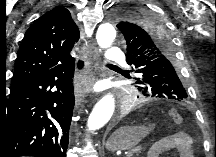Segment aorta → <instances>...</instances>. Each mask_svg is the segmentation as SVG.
Wrapping results in <instances>:
<instances>
[{"label": "aorta", "mask_w": 216, "mask_h": 157, "mask_svg": "<svg viewBox=\"0 0 216 157\" xmlns=\"http://www.w3.org/2000/svg\"><path fill=\"white\" fill-rule=\"evenodd\" d=\"M116 37V30L111 23L99 26L96 34L97 43L101 48H108ZM115 110V100L112 94L105 95L93 108L87 122L89 131L102 128L111 119Z\"/></svg>", "instance_id": "aorta-1"}]
</instances>
